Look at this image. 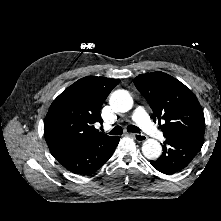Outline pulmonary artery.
Instances as JSON below:
<instances>
[{
  "label": "pulmonary artery",
  "instance_id": "pulmonary-artery-1",
  "mask_svg": "<svg viewBox=\"0 0 221 221\" xmlns=\"http://www.w3.org/2000/svg\"><path fill=\"white\" fill-rule=\"evenodd\" d=\"M135 123L150 137L160 139L163 133L150 120L148 114L143 107H137L133 114Z\"/></svg>",
  "mask_w": 221,
  "mask_h": 221
}]
</instances>
